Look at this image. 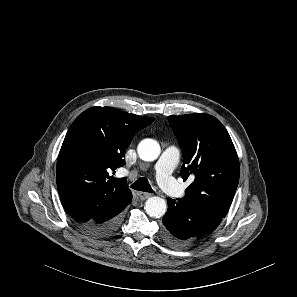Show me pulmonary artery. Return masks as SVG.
I'll use <instances>...</instances> for the list:
<instances>
[{
  "label": "pulmonary artery",
  "mask_w": 297,
  "mask_h": 297,
  "mask_svg": "<svg viewBox=\"0 0 297 297\" xmlns=\"http://www.w3.org/2000/svg\"><path fill=\"white\" fill-rule=\"evenodd\" d=\"M180 159V151L176 146L163 150L155 164V177L159 187L167 194L182 197L184 190L176 183L171 174Z\"/></svg>",
  "instance_id": "e3ab8cb5"
}]
</instances>
